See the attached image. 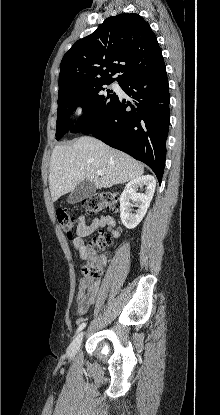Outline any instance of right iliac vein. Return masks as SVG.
I'll list each match as a JSON object with an SVG mask.
<instances>
[{"mask_svg": "<svg viewBox=\"0 0 220 415\" xmlns=\"http://www.w3.org/2000/svg\"><path fill=\"white\" fill-rule=\"evenodd\" d=\"M84 337V332H80L71 342L70 346L68 347L67 350V355L69 358H73L75 356V354L77 353V351L80 348V345L82 343Z\"/></svg>", "mask_w": 220, "mask_h": 415, "instance_id": "obj_1", "label": "right iliac vein"}]
</instances>
